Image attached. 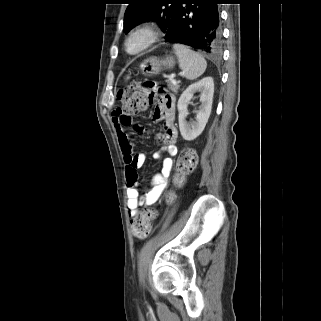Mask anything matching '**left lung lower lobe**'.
<instances>
[{"mask_svg": "<svg viewBox=\"0 0 321 321\" xmlns=\"http://www.w3.org/2000/svg\"><path fill=\"white\" fill-rule=\"evenodd\" d=\"M221 2L222 0H180L169 21L165 41L218 54L222 46V29L217 5Z\"/></svg>", "mask_w": 321, "mask_h": 321, "instance_id": "1", "label": "left lung lower lobe"}]
</instances>
